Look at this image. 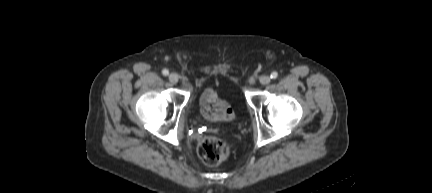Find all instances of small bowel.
Wrapping results in <instances>:
<instances>
[{"mask_svg": "<svg viewBox=\"0 0 432 193\" xmlns=\"http://www.w3.org/2000/svg\"><path fill=\"white\" fill-rule=\"evenodd\" d=\"M203 117L211 122L228 121L232 119L233 112L229 105L218 98L216 92L208 88L199 98Z\"/></svg>", "mask_w": 432, "mask_h": 193, "instance_id": "1", "label": "small bowel"}]
</instances>
